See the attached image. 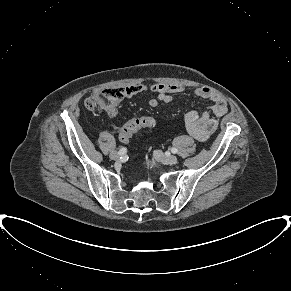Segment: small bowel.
I'll list each match as a JSON object with an SVG mask.
<instances>
[{
  "label": "small bowel",
  "instance_id": "1",
  "mask_svg": "<svg viewBox=\"0 0 291 291\" xmlns=\"http://www.w3.org/2000/svg\"><path fill=\"white\" fill-rule=\"evenodd\" d=\"M125 98H132L133 96L151 91L157 95L149 101V105L152 108H156L160 102L170 103L173 100V94L181 93L184 88L174 84H162L154 83L151 85H132L124 89ZM194 94L198 97L208 99L214 104L211 107V111L215 116L221 117L228 112V104L226 100L213 91L210 88L202 87L194 90ZM107 115L110 118H116L118 115L117 108H111L106 110ZM184 123L187 132L196 140L200 142L206 141L210 135L216 130L218 122L212 118L208 112L199 113L196 110L189 111L184 117Z\"/></svg>",
  "mask_w": 291,
  "mask_h": 291
}]
</instances>
